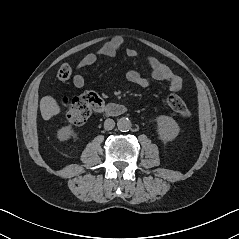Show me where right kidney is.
<instances>
[{
    "mask_svg": "<svg viewBox=\"0 0 239 239\" xmlns=\"http://www.w3.org/2000/svg\"><path fill=\"white\" fill-rule=\"evenodd\" d=\"M72 133L71 127H63L58 131L57 136L60 141H65L71 137Z\"/></svg>",
    "mask_w": 239,
    "mask_h": 239,
    "instance_id": "right-kidney-1",
    "label": "right kidney"
}]
</instances>
